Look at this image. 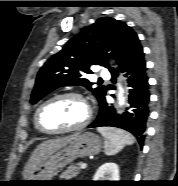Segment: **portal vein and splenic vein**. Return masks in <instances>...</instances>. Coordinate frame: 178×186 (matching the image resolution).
Masks as SVG:
<instances>
[{
	"label": "portal vein and splenic vein",
	"instance_id": "portal-vein-and-splenic-vein-1",
	"mask_svg": "<svg viewBox=\"0 0 178 186\" xmlns=\"http://www.w3.org/2000/svg\"><path fill=\"white\" fill-rule=\"evenodd\" d=\"M86 167H87L86 163H82L81 166H80L81 169H85Z\"/></svg>",
	"mask_w": 178,
	"mask_h": 186
}]
</instances>
